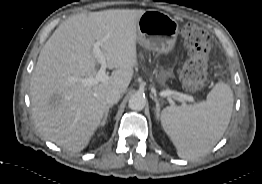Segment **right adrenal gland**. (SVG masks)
<instances>
[{
  "label": "right adrenal gland",
  "mask_w": 262,
  "mask_h": 184,
  "mask_svg": "<svg viewBox=\"0 0 262 184\" xmlns=\"http://www.w3.org/2000/svg\"><path fill=\"white\" fill-rule=\"evenodd\" d=\"M112 106H113V105H108V106H107V109H106L105 114H104L103 121H102L101 124H100L101 126H104V125L106 124L107 118H108V114H109V110H110V108H112Z\"/></svg>",
  "instance_id": "right-adrenal-gland-1"
}]
</instances>
